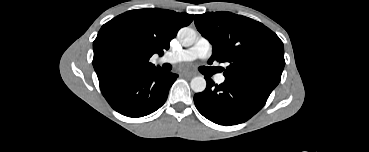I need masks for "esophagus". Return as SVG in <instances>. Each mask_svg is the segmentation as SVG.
<instances>
[{"label":"esophagus","mask_w":369,"mask_h":152,"mask_svg":"<svg viewBox=\"0 0 369 152\" xmlns=\"http://www.w3.org/2000/svg\"><path fill=\"white\" fill-rule=\"evenodd\" d=\"M196 75V73L195 72H184L183 73V76L184 77H187V78H192V77H194Z\"/></svg>","instance_id":"obj_1"}]
</instances>
